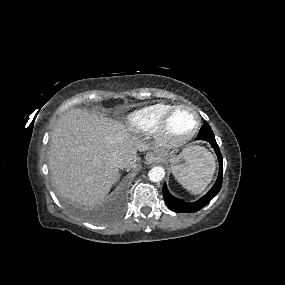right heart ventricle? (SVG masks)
<instances>
[{"mask_svg":"<svg viewBox=\"0 0 285 285\" xmlns=\"http://www.w3.org/2000/svg\"><path fill=\"white\" fill-rule=\"evenodd\" d=\"M173 107L172 104L156 103L142 107L125 117L127 128L136 134L155 133L165 114Z\"/></svg>","mask_w":285,"mask_h":285,"instance_id":"right-heart-ventricle-1","label":"right heart ventricle"}]
</instances>
